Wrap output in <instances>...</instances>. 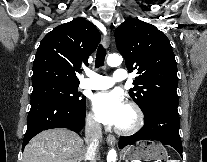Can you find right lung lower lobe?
<instances>
[{
  "label": "right lung lower lobe",
  "mask_w": 207,
  "mask_h": 162,
  "mask_svg": "<svg viewBox=\"0 0 207 162\" xmlns=\"http://www.w3.org/2000/svg\"><path fill=\"white\" fill-rule=\"evenodd\" d=\"M85 103L72 105L57 97H42L31 100L27 131L22 149L28 141L43 130L68 128L79 132L85 123Z\"/></svg>",
  "instance_id": "1"
}]
</instances>
